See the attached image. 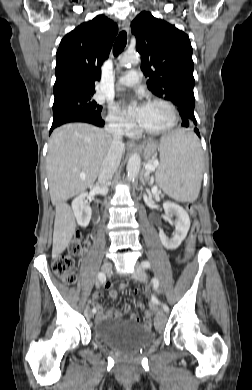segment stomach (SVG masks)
I'll use <instances>...</instances> for the list:
<instances>
[{
    "instance_id": "obj_1",
    "label": "stomach",
    "mask_w": 252,
    "mask_h": 390,
    "mask_svg": "<svg viewBox=\"0 0 252 390\" xmlns=\"http://www.w3.org/2000/svg\"><path fill=\"white\" fill-rule=\"evenodd\" d=\"M189 132V131H188ZM157 149V144L155 143H148L145 147H144V156L146 159H149L153 154L154 152L156 151Z\"/></svg>"
}]
</instances>
